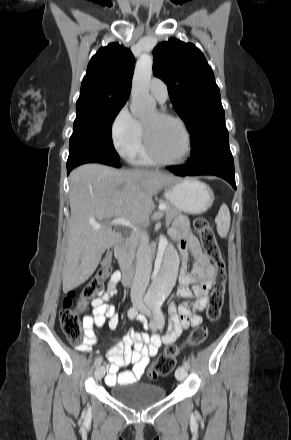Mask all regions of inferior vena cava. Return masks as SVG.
Returning a JSON list of instances; mask_svg holds the SVG:
<instances>
[{"instance_id": "1", "label": "inferior vena cava", "mask_w": 291, "mask_h": 440, "mask_svg": "<svg viewBox=\"0 0 291 440\" xmlns=\"http://www.w3.org/2000/svg\"><path fill=\"white\" fill-rule=\"evenodd\" d=\"M152 269V259L150 248L146 239L142 242L137 250L136 270L131 287V301L135 304H142L143 296L149 284Z\"/></svg>"}]
</instances>
